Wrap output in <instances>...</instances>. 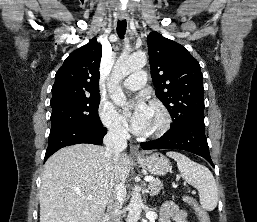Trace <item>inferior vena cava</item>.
Instances as JSON below:
<instances>
[{
	"label": "inferior vena cava",
	"mask_w": 257,
	"mask_h": 222,
	"mask_svg": "<svg viewBox=\"0 0 257 222\" xmlns=\"http://www.w3.org/2000/svg\"><path fill=\"white\" fill-rule=\"evenodd\" d=\"M128 132L119 124H111L108 132L104 137L105 157L113 165L117 163L121 151L127 147ZM126 194L124 183L118 182L114 194L108 202V214L110 222H121V208L123 205V198Z\"/></svg>",
	"instance_id": "inferior-vena-cava-1"
}]
</instances>
